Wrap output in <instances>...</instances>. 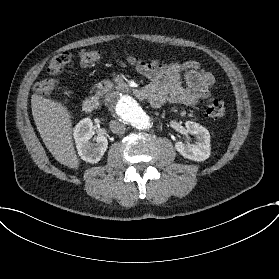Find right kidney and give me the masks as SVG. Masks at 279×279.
<instances>
[{
  "instance_id": "obj_1",
  "label": "right kidney",
  "mask_w": 279,
  "mask_h": 279,
  "mask_svg": "<svg viewBox=\"0 0 279 279\" xmlns=\"http://www.w3.org/2000/svg\"><path fill=\"white\" fill-rule=\"evenodd\" d=\"M93 135V123L90 118L80 120L73 129L78 155L88 163L99 162L108 147V141L104 135H98L96 143H91L90 139Z\"/></svg>"
}]
</instances>
